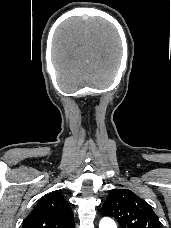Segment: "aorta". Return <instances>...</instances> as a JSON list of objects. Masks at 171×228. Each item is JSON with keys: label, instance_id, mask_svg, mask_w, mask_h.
I'll return each mask as SVG.
<instances>
[{"label": "aorta", "instance_id": "aorta-1", "mask_svg": "<svg viewBox=\"0 0 171 228\" xmlns=\"http://www.w3.org/2000/svg\"><path fill=\"white\" fill-rule=\"evenodd\" d=\"M99 228H117V226L111 218H103L99 223Z\"/></svg>", "mask_w": 171, "mask_h": 228}]
</instances>
